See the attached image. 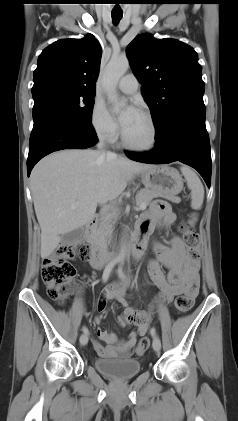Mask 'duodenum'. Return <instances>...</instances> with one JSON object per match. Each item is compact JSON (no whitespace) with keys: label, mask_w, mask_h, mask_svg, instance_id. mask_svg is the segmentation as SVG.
<instances>
[{"label":"duodenum","mask_w":238,"mask_h":421,"mask_svg":"<svg viewBox=\"0 0 238 421\" xmlns=\"http://www.w3.org/2000/svg\"><path fill=\"white\" fill-rule=\"evenodd\" d=\"M98 218H91L86 224L85 228V239L90 246V257L89 261L91 266L94 268H102L105 264L117 261V256L108 252L102 247L96 238V227ZM147 246L146 238L140 233H136L133 238V242L129 251V255L133 260H138L144 254Z\"/></svg>","instance_id":"1"}]
</instances>
